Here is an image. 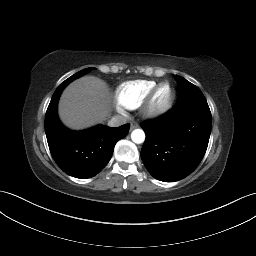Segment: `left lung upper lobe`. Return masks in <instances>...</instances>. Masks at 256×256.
I'll use <instances>...</instances> for the list:
<instances>
[{
  "label": "left lung upper lobe",
  "instance_id": "obj_1",
  "mask_svg": "<svg viewBox=\"0 0 256 256\" xmlns=\"http://www.w3.org/2000/svg\"><path fill=\"white\" fill-rule=\"evenodd\" d=\"M178 82V99L176 106L189 102H207L200 89L181 76L176 75Z\"/></svg>",
  "mask_w": 256,
  "mask_h": 256
}]
</instances>
